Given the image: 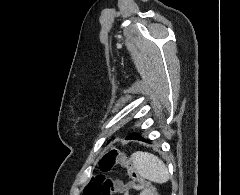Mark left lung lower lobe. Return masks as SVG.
<instances>
[{"label":"left lung lower lobe","instance_id":"obj_1","mask_svg":"<svg viewBox=\"0 0 240 195\" xmlns=\"http://www.w3.org/2000/svg\"><path fill=\"white\" fill-rule=\"evenodd\" d=\"M127 138H129V139H140V140H142L141 136H140L139 134H136V133L130 134Z\"/></svg>","mask_w":240,"mask_h":195}]
</instances>
